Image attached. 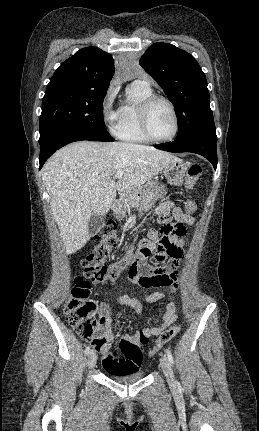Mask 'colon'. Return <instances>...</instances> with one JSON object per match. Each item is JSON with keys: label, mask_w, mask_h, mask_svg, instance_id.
<instances>
[{"label": "colon", "mask_w": 259, "mask_h": 431, "mask_svg": "<svg viewBox=\"0 0 259 431\" xmlns=\"http://www.w3.org/2000/svg\"><path fill=\"white\" fill-rule=\"evenodd\" d=\"M200 176V165L190 164L186 174V186L192 188ZM184 208L190 215H195L196 205L192 200L185 201ZM185 234L184 223H165L160 227L156 238L140 242L136 252L131 249L127 250L118 262L108 265L106 261L113 255L118 245V235L115 223L104 224L95 235L98 241L97 246L82 261L84 275L87 279L75 278L74 287L65 303L64 313L69 324L82 338L91 340L93 345L103 344L104 339L98 336L100 326V318L96 316L98 305L89 299L92 284L113 282L126 268L129 271L130 267H147L149 259L157 262L163 261L175 252V242L182 239ZM179 330V325L164 329L150 349V355L155 354L160 347L168 343ZM148 339V334L141 332L140 342L146 344ZM118 350L133 358H136L139 353L138 346L130 342H120ZM135 370L133 366L126 364L120 372Z\"/></svg>", "instance_id": "colon-1"}]
</instances>
